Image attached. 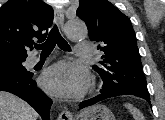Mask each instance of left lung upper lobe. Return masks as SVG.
I'll list each match as a JSON object with an SVG mask.
<instances>
[{"mask_svg":"<svg viewBox=\"0 0 165 120\" xmlns=\"http://www.w3.org/2000/svg\"><path fill=\"white\" fill-rule=\"evenodd\" d=\"M77 16L104 53L103 60L93 65L104 82L102 93L150 98L129 18L107 0H79Z\"/></svg>","mask_w":165,"mask_h":120,"instance_id":"5c2ea615","label":"left lung upper lobe"}]
</instances>
